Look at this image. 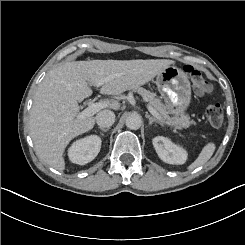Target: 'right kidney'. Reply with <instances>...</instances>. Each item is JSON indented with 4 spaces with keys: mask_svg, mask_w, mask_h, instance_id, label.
Listing matches in <instances>:
<instances>
[{
    "mask_svg": "<svg viewBox=\"0 0 245 245\" xmlns=\"http://www.w3.org/2000/svg\"><path fill=\"white\" fill-rule=\"evenodd\" d=\"M101 138L90 135L75 141L68 149V156L72 163L85 165L91 162L100 152Z\"/></svg>",
    "mask_w": 245,
    "mask_h": 245,
    "instance_id": "ca27d5eb",
    "label": "right kidney"
}]
</instances>
